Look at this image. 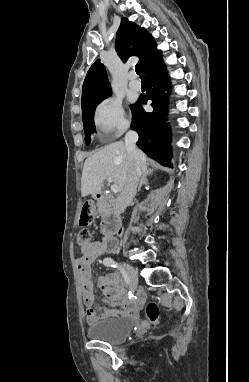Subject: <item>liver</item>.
<instances>
[{
    "label": "liver",
    "mask_w": 249,
    "mask_h": 382,
    "mask_svg": "<svg viewBox=\"0 0 249 382\" xmlns=\"http://www.w3.org/2000/svg\"><path fill=\"white\" fill-rule=\"evenodd\" d=\"M138 151L140 172H148L147 157ZM131 159L123 141L111 143L93 155L84 163L81 179V194L86 197L101 191L104 180L114 181L121 191L130 168Z\"/></svg>",
    "instance_id": "obj_1"
}]
</instances>
